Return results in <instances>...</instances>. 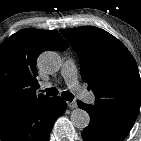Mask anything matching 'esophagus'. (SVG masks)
Listing matches in <instances>:
<instances>
[{
    "label": "esophagus",
    "mask_w": 141,
    "mask_h": 141,
    "mask_svg": "<svg viewBox=\"0 0 141 141\" xmlns=\"http://www.w3.org/2000/svg\"><path fill=\"white\" fill-rule=\"evenodd\" d=\"M67 106L70 108V109H75L78 107L77 105V102L76 101H72V102H67Z\"/></svg>",
    "instance_id": "1"
}]
</instances>
